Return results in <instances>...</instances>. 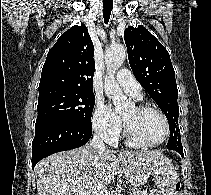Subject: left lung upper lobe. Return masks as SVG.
<instances>
[{"instance_id": "1", "label": "left lung upper lobe", "mask_w": 211, "mask_h": 195, "mask_svg": "<svg viewBox=\"0 0 211 195\" xmlns=\"http://www.w3.org/2000/svg\"><path fill=\"white\" fill-rule=\"evenodd\" d=\"M133 74L166 115L170 138L167 148L182 147L175 72L166 48L142 25L124 31Z\"/></svg>"}]
</instances>
